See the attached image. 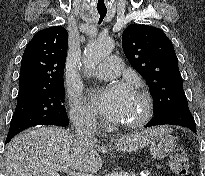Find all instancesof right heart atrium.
Instances as JSON below:
<instances>
[{
    "mask_svg": "<svg viewBox=\"0 0 205 176\" xmlns=\"http://www.w3.org/2000/svg\"><path fill=\"white\" fill-rule=\"evenodd\" d=\"M70 116L73 122L80 127L94 129L98 126L99 119L95 111L76 94L69 95Z\"/></svg>",
    "mask_w": 205,
    "mask_h": 176,
    "instance_id": "obj_1",
    "label": "right heart atrium"
}]
</instances>
